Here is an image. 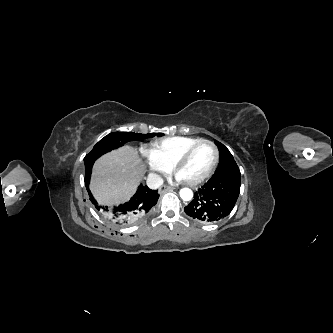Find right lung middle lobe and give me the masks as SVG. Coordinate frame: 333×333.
Returning a JSON list of instances; mask_svg holds the SVG:
<instances>
[{
  "instance_id": "dd1d6c3e",
  "label": "right lung middle lobe",
  "mask_w": 333,
  "mask_h": 333,
  "mask_svg": "<svg viewBox=\"0 0 333 333\" xmlns=\"http://www.w3.org/2000/svg\"><path fill=\"white\" fill-rule=\"evenodd\" d=\"M155 134H146L142 135L140 133H128V132H114L110 133L101 139L89 153L90 156L102 155L106 152L111 151L112 149L123 146L126 142L145 139L154 136ZM162 134H158L161 136Z\"/></svg>"
}]
</instances>
